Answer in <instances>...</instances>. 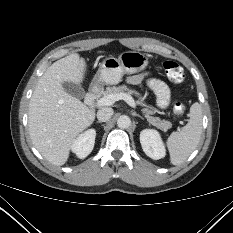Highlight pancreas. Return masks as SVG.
<instances>
[{"instance_id":"obj_1","label":"pancreas","mask_w":233,"mask_h":233,"mask_svg":"<svg viewBox=\"0 0 233 233\" xmlns=\"http://www.w3.org/2000/svg\"><path fill=\"white\" fill-rule=\"evenodd\" d=\"M120 93H127V94H138L135 91L129 89L126 85H121V86H113V87H107L106 91L103 92V95H110V94H120ZM140 105H144L142 103V100L138 102ZM145 118L147 119V121L155 126L158 129H161L163 131H167L169 128H171V123L169 121L166 120H161L158 117H153L152 115L155 113L154 111L148 109V108H144L142 110Z\"/></svg>"}]
</instances>
